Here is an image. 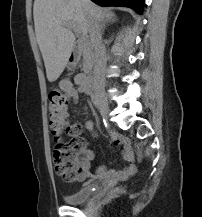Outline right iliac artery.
<instances>
[{
  "instance_id": "obj_1",
  "label": "right iliac artery",
  "mask_w": 202,
  "mask_h": 217,
  "mask_svg": "<svg viewBox=\"0 0 202 217\" xmlns=\"http://www.w3.org/2000/svg\"><path fill=\"white\" fill-rule=\"evenodd\" d=\"M92 102L96 108H99L98 101H97L96 96L94 94L92 95Z\"/></svg>"
}]
</instances>
